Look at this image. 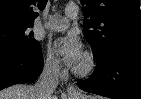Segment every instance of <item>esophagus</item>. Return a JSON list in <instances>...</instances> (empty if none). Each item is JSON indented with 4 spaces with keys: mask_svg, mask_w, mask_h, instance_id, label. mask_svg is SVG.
<instances>
[{
    "mask_svg": "<svg viewBox=\"0 0 141 99\" xmlns=\"http://www.w3.org/2000/svg\"><path fill=\"white\" fill-rule=\"evenodd\" d=\"M67 94L68 96H76L79 95L80 92L73 84H69V86L67 87Z\"/></svg>",
    "mask_w": 141,
    "mask_h": 99,
    "instance_id": "obj_1",
    "label": "esophagus"
}]
</instances>
